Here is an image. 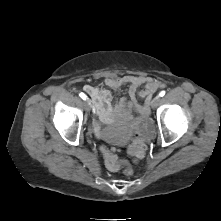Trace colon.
Instances as JSON below:
<instances>
[{"label": "colon", "mask_w": 221, "mask_h": 221, "mask_svg": "<svg viewBox=\"0 0 221 221\" xmlns=\"http://www.w3.org/2000/svg\"><path fill=\"white\" fill-rule=\"evenodd\" d=\"M147 149L148 147L144 140L136 139L129 147L128 153L134 161H137L145 156ZM100 150L104 156L105 163L108 169H110L111 171H115L122 166L123 173L125 175L131 176L133 174L132 166L126 162L121 164L118 161L117 154L112 149L106 146H101Z\"/></svg>", "instance_id": "obj_1"}]
</instances>
